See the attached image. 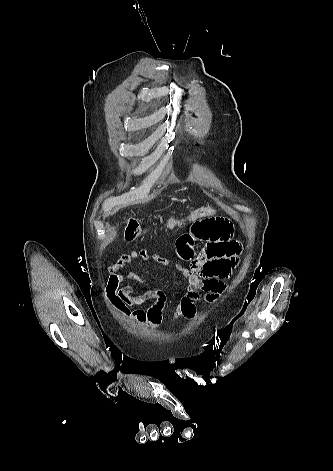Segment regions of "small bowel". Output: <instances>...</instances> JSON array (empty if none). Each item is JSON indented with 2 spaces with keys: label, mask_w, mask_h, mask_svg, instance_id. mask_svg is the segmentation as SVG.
<instances>
[{
  "label": "small bowel",
  "mask_w": 333,
  "mask_h": 471,
  "mask_svg": "<svg viewBox=\"0 0 333 471\" xmlns=\"http://www.w3.org/2000/svg\"><path fill=\"white\" fill-rule=\"evenodd\" d=\"M191 229L177 240V252L189 266L175 264V269L187 282L188 288L182 296L169 324L179 319L193 320L196 304L200 301L217 302L227 289L224 279L231 276L237 267L242 245L233 238V224L229 218L207 216L191 221ZM203 242L200 252L196 244ZM152 260L161 266H169L170 261L160 255L150 254L147 250H132L122 255L111 267L106 296L113 307L130 320L136 321L147 329H156L163 323V312L167 295L161 289H151L136 293L126 280L143 283L135 272L122 270L136 259ZM147 302L150 305L143 307Z\"/></svg>",
  "instance_id": "obj_1"
}]
</instances>
